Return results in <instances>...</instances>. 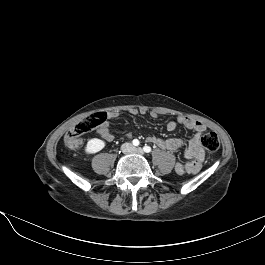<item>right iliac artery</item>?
Here are the masks:
<instances>
[{"instance_id":"82829eb1","label":"right iliac artery","mask_w":265,"mask_h":265,"mask_svg":"<svg viewBox=\"0 0 265 265\" xmlns=\"http://www.w3.org/2000/svg\"><path fill=\"white\" fill-rule=\"evenodd\" d=\"M132 143H133L134 146H138V145L140 144V142H139L138 139H134V140L132 141Z\"/></svg>"}]
</instances>
